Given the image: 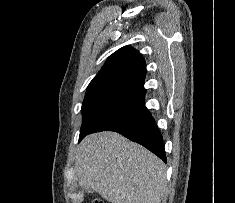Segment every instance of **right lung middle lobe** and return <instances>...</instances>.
I'll return each mask as SVG.
<instances>
[{"instance_id": "right-lung-middle-lobe-1", "label": "right lung middle lobe", "mask_w": 235, "mask_h": 203, "mask_svg": "<svg viewBox=\"0 0 235 203\" xmlns=\"http://www.w3.org/2000/svg\"><path fill=\"white\" fill-rule=\"evenodd\" d=\"M145 95L143 86L108 84L87 88L82 104L83 121L79 141L101 121Z\"/></svg>"}]
</instances>
